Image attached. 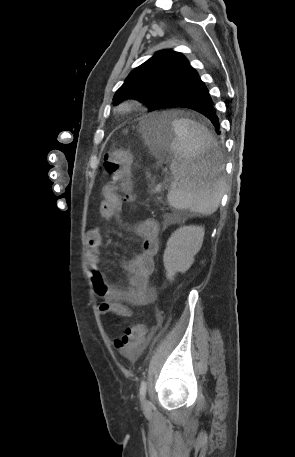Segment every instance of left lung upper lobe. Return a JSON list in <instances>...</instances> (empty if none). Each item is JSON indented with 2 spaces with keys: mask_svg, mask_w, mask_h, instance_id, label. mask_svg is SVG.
I'll use <instances>...</instances> for the list:
<instances>
[{
  "mask_svg": "<svg viewBox=\"0 0 295 457\" xmlns=\"http://www.w3.org/2000/svg\"><path fill=\"white\" fill-rule=\"evenodd\" d=\"M193 70L186 57L173 50L156 52L150 59L135 68L116 91L114 104L133 98L157 110L159 104L186 88L187 77Z\"/></svg>",
  "mask_w": 295,
  "mask_h": 457,
  "instance_id": "obj_1",
  "label": "left lung upper lobe"
}]
</instances>
